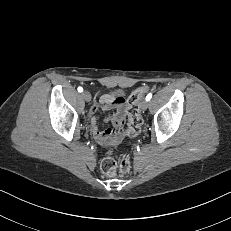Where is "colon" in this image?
Listing matches in <instances>:
<instances>
[{"label": "colon", "instance_id": "1", "mask_svg": "<svg viewBox=\"0 0 231 231\" xmlns=\"http://www.w3.org/2000/svg\"><path fill=\"white\" fill-rule=\"evenodd\" d=\"M148 89V87H140L134 90L127 100L125 116L127 129L125 133L128 137H135L140 133L142 117L139 102ZM100 169L107 177L128 174L131 169V161L128 155H123L120 159H117L112 152H108L101 161Z\"/></svg>", "mask_w": 231, "mask_h": 231}]
</instances>
